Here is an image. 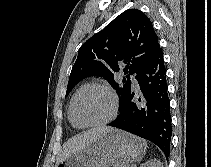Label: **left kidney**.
Masks as SVG:
<instances>
[{
	"instance_id": "left-kidney-1",
	"label": "left kidney",
	"mask_w": 211,
	"mask_h": 167,
	"mask_svg": "<svg viewBox=\"0 0 211 167\" xmlns=\"http://www.w3.org/2000/svg\"><path fill=\"white\" fill-rule=\"evenodd\" d=\"M140 167H163V165L159 160H151L142 164Z\"/></svg>"
}]
</instances>
